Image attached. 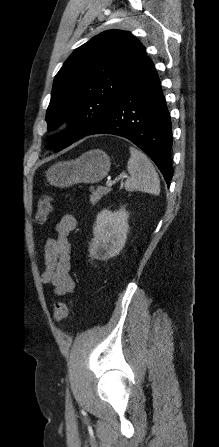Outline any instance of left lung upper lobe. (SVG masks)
<instances>
[{
    "mask_svg": "<svg viewBox=\"0 0 219 447\" xmlns=\"http://www.w3.org/2000/svg\"><path fill=\"white\" fill-rule=\"evenodd\" d=\"M146 58L145 48L129 32H103L77 48L54 79L46 112L48 130L61 122L71 128L52 145L63 149L86 136L117 100Z\"/></svg>",
    "mask_w": 219,
    "mask_h": 447,
    "instance_id": "left-lung-upper-lobe-1",
    "label": "left lung upper lobe"
}]
</instances>
